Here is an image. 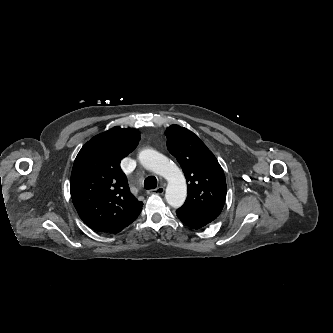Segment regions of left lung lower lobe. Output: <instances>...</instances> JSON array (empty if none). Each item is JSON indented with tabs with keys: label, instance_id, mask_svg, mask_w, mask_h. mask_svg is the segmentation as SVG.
<instances>
[{
	"label": "left lung lower lobe",
	"instance_id": "0a47b994",
	"mask_svg": "<svg viewBox=\"0 0 333 333\" xmlns=\"http://www.w3.org/2000/svg\"><path fill=\"white\" fill-rule=\"evenodd\" d=\"M177 217L187 226L199 229L204 227L208 223L212 222L216 219V217H212L205 214L196 213L182 207L176 210Z\"/></svg>",
	"mask_w": 333,
	"mask_h": 333
}]
</instances>
